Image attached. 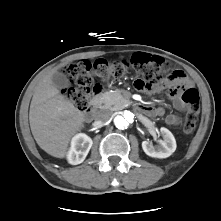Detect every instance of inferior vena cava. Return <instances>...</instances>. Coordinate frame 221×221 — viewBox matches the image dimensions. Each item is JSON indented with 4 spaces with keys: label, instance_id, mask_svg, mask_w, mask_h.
<instances>
[{
    "label": "inferior vena cava",
    "instance_id": "inferior-vena-cava-1",
    "mask_svg": "<svg viewBox=\"0 0 221 221\" xmlns=\"http://www.w3.org/2000/svg\"><path fill=\"white\" fill-rule=\"evenodd\" d=\"M112 112L110 110H98L95 114V120L100 123H105L110 120Z\"/></svg>",
    "mask_w": 221,
    "mask_h": 221
}]
</instances>
